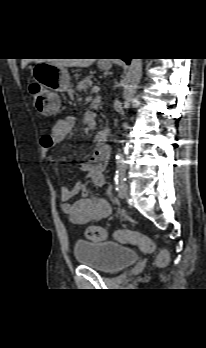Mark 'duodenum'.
Instances as JSON below:
<instances>
[{
    "label": "duodenum",
    "mask_w": 206,
    "mask_h": 348,
    "mask_svg": "<svg viewBox=\"0 0 206 348\" xmlns=\"http://www.w3.org/2000/svg\"><path fill=\"white\" fill-rule=\"evenodd\" d=\"M110 134H111V131L108 130V129H104V130L98 131L96 133V135H95V141L105 145V143L110 138Z\"/></svg>",
    "instance_id": "obj_1"
}]
</instances>
